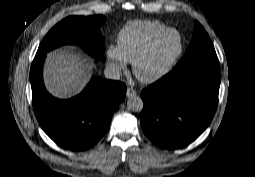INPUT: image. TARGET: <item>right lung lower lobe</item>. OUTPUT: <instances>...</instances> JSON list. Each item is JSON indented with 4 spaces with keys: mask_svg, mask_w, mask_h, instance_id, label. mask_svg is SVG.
<instances>
[{
    "mask_svg": "<svg viewBox=\"0 0 255 177\" xmlns=\"http://www.w3.org/2000/svg\"><path fill=\"white\" fill-rule=\"evenodd\" d=\"M46 54L36 55L30 70L33 107L45 133L58 145L87 150L106 133L112 115L126 94L125 84L93 78L69 100L52 97L45 89L42 68Z\"/></svg>",
    "mask_w": 255,
    "mask_h": 177,
    "instance_id": "1",
    "label": "right lung lower lobe"
}]
</instances>
